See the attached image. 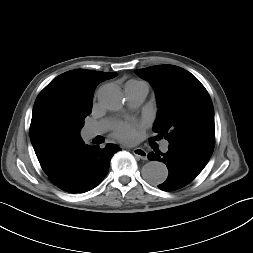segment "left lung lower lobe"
Wrapping results in <instances>:
<instances>
[{"label":"left lung lower lobe","instance_id":"obj_1","mask_svg":"<svg viewBox=\"0 0 253 253\" xmlns=\"http://www.w3.org/2000/svg\"><path fill=\"white\" fill-rule=\"evenodd\" d=\"M213 149L186 141L169 142L168 151L162 154L158 149L148 154L150 160L167 165L169 175L158 187L173 191L189 184L203 170Z\"/></svg>","mask_w":253,"mask_h":253}]
</instances>
